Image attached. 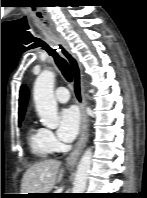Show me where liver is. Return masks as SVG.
<instances>
[{
  "instance_id": "liver-1",
  "label": "liver",
  "mask_w": 147,
  "mask_h": 198,
  "mask_svg": "<svg viewBox=\"0 0 147 198\" xmlns=\"http://www.w3.org/2000/svg\"><path fill=\"white\" fill-rule=\"evenodd\" d=\"M57 160H44L32 165L23 175L21 192L29 193H49L54 185L61 181L63 168Z\"/></svg>"
}]
</instances>
